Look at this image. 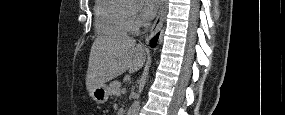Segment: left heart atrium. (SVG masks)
<instances>
[{
	"label": "left heart atrium",
	"instance_id": "1",
	"mask_svg": "<svg viewBox=\"0 0 285 115\" xmlns=\"http://www.w3.org/2000/svg\"><path fill=\"white\" fill-rule=\"evenodd\" d=\"M159 0H141V9L145 18H151L159 7Z\"/></svg>",
	"mask_w": 285,
	"mask_h": 115
}]
</instances>
